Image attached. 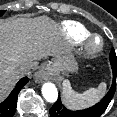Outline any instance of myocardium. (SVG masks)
Here are the masks:
<instances>
[{"mask_svg":"<svg viewBox=\"0 0 117 117\" xmlns=\"http://www.w3.org/2000/svg\"><path fill=\"white\" fill-rule=\"evenodd\" d=\"M103 39L98 35H90L83 41V50L86 55H95L103 48Z\"/></svg>","mask_w":117,"mask_h":117,"instance_id":"1","label":"myocardium"}]
</instances>
